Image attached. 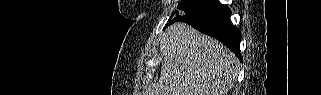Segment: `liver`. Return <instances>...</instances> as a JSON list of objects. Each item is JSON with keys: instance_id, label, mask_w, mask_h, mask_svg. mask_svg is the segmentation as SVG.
<instances>
[{"instance_id": "1", "label": "liver", "mask_w": 321, "mask_h": 95, "mask_svg": "<svg viewBox=\"0 0 321 95\" xmlns=\"http://www.w3.org/2000/svg\"><path fill=\"white\" fill-rule=\"evenodd\" d=\"M160 52L161 77L144 95H225L234 85L235 55L189 25L170 26Z\"/></svg>"}]
</instances>
